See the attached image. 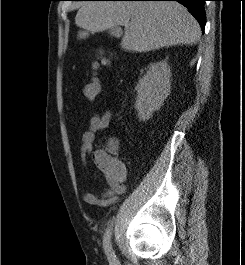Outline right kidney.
Segmentation results:
<instances>
[{"mask_svg": "<svg viewBox=\"0 0 245 265\" xmlns=\"http://www.w3.org/2000/svg\"><path fill=\"white\" fill-rule=\"evenodd\" d=\"M171 71L166 61L151 65L149 71L139 79L134 107L140 121L148 120L158 110L170 92Z\"/></svg>", "mask_w": 245, "mask_h": 265, "instance_id": "ca27d5eb", "label": "right kidney"}]
</instances>
